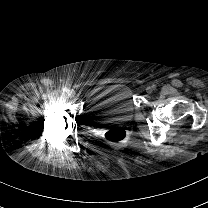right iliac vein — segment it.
<instances>
[{"instance_id": "obj_1", "label": "right iliac vein", "mask_w": 208, "mask_h": 208, "mask_svg": "<svg viewBox=\"0 0 208 208\" xmlns=\"http://www.w3.org/2000/svg\"><path fill=\"white\" fill-rule=\"evenodd\" d=\"M75 91L74 90H71V91H69L68 92V96L70 97V98H74L75 97Z\"/></svg>"}]
</instances>
